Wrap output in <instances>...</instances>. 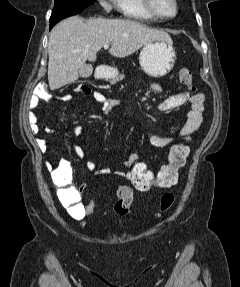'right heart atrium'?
Returning a JSON list of instances; mask_svg holds the SVG:
<instances>
[{"instance_id":"obj_1","label":"right heart atrium","mask_w":240,"mask_h":287,"mask_svg":"<svg viewBox=\"0 0 240 287\" xmlns=\"http://www.w3.org/2000/svg\"><path fill=\"white\" fill-rule=\"evenodd\" d=\"M98 1L106 11H110L115 5V0H98Z\"/></svg>"}]
</instances>
